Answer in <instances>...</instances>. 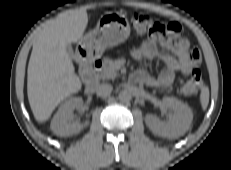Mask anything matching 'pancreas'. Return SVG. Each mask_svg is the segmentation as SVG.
Masks as SVG:
<instances>
[{"label": "pancreas", "mask_w": 231, "mask_h": 170, "mask_svg": "<svg viewBox=\"0 0 231 170\" xmlns=\"http://www.w3.org/2000/svg\"><path fill=\"white\" fill-rule=\"evenodd\" d=\"M118 75L117 69L114 67V61L105 58L103 62V69L100 73V78L103 80H114Z\"/></svg>", "instance_id": "1"}]
</instances>
